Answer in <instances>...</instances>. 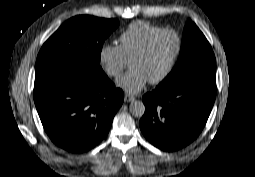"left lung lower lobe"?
<instances>
[{"label":"left lung lower lobe","mask_w":255,"mask_h":177,"mask_svg":"<svg viewBox=\"0 0 255 177\" xmlns=\"http://www.w3.org/2000/svg\"><path fill=\"white\" fill-rule=\"evenodd\" d=\"M216 96V70H200L172 83L158 85L142 98L146 110L140 120L144 136L156 147L174 151L201 132Z\"/></svg>","instance_id":"1"}]
</instances>
